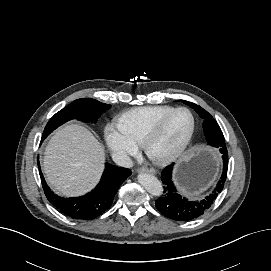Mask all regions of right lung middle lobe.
<instances>
[{"mask_svg":"<svg viewBox=\"0 0 271 271\" xmlns=\"http://www.w3.org/2000/svg\"><path fill=\"white\" fill-rule=\"evenodd\" d=\"M108 108H110V105L91 98L75 100L57 112L48 121L42 135V140H44L54 129L72 119H77L86 123H96L100 115Z\"/></svg>","mask_w":271,"mask_h":271,"instance_id":"dd1d6c3e","label":"right lung middle lobe"}]
</instances>
